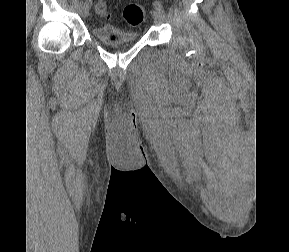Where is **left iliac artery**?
Listing matches in <instances>:
<instances>
[{
  "label": "left iliac artery",
  "mask_w": 289,
  "mask_h": 252,
  "mask_svg": "<svg viewBox=\"0 0 289 252\" xmlns=\"http://www.w3.org/2000/svg\"><path fill=\"white\" fill-rule=\"evenodd\" d=\"M153 5H154L155 8L163 9L162 3H161L160 1H157V0H156V1L153 3Z\"/></svg>",
  "instance_id": "1"
}]
</instances>
